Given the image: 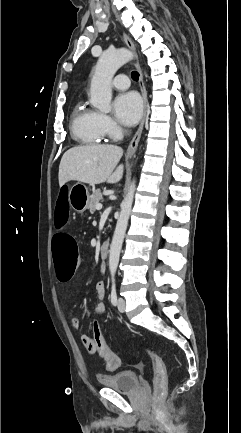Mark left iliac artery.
I'll use <instances>...</instances> for the list:
<instances>
[{
  "mask_svg": "<svg viewBox=\"0 0 241 433\" xmlns=\"http://www.w3.org/2000/svg\"><path fill=\"white\" fill-rule=\"evenodd\" d=\"M110 300L114 306L117 304V293H116V284H115V278L114 277H112V287H111Z\"/></svg>",
  "mask_w": 241,
  "mask_h": 433,
  "instance_id": "1",
  "label": "left iliac artery"
}]
</instances>
